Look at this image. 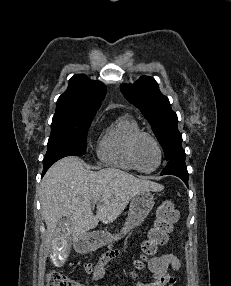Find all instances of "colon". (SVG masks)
Returning <instances> with one entry per match:
<instances>
[{"label":"colon","mask_w":231,"mask_h":286,"mask_svg":"<svg viewBox=\"0 0 231 286\" xmlns=\"http://www.w3.org/2000/svg\"><path fill=\"white\" fill-rule=\"evenodd\" d=\"M178 219L179 210L171 200H166L157 207L153 226L149 229L147 237L141 245V255L139 259L135 261V269H141L146 259L156 255L159 247L167 243L169 234L172 232ZM46 286L84 285L65 274L53 271L49 272L46 276Z\"/></svg>","instance_id":"5ec220e1"}]
</instances>
